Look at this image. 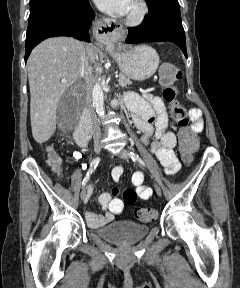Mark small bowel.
<instances>
[{
    "instance_id": "obj_1",
    "label": "small bowel",
    "mask_w": 240,
    "mask_h": 288,
    "mask_svg": "<svg viewBox=\"0 0 240 288\" xmlns=\"http://www.w3.org/2000/svg\"><path fill=\"white\" fill-rule=\"evenodd\" d=\"M124 104L132 115L136 128L142 133L141 140L145 145H150L152 153L163 166L166 174L172 175L179 171L180 162L174 153L176 146V136L168 129L169 119L166 106L163 100L152 94L145 93L139 95L134 92H128L123 98ZM191 120V129L197 134L203 130V119L201 111L192 108L188 111ZM155 140L151 142V138ZM76 156H79L77 153ZM123 174V168L116 166L112 170V179L117 182ZM132 184L136 188L138 196L147 200L152 195V190L144 184L143 174L139 171L132 175ZM90 195V192H89ZM119 190L114 189L112 194L102 193L99 196L104 215L93 212L86 213L88 224L97 228L113 220L115 214L123 210V202L118 197Z\"/></svg>"
}]
</instances>
